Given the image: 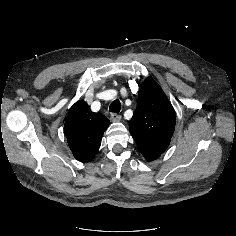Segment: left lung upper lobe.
<instances>
[{
  "mask_svg": "<svg viewBox=\"0 0 236 236\" xmlns=\"http://www.w3.org/2000/svg\"><path fill=\"white\" fill-rule=\"evenodd\" d=\"M175 129V111L161 87L151 78L141 85L129 130L142 155L157 159L169 146Z\"/></svg>",
  "mask_w": 236,
  "mask_h": 236,
  "instance_id": "left-lung-upper-lobe-1",
  "label": "left lung upper lobe"
}]
</instances>
